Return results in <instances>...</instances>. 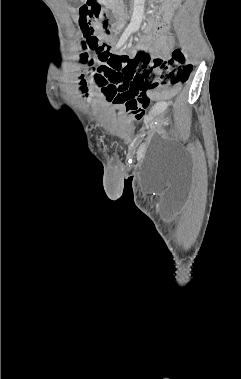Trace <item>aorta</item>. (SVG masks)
<instances>
[{"label":"aorta","instance_id":"aorta-1","mask_svg":"<svg viewBox=\"0 0 241 379\" xmlns=\"http://www.w3.org/2000/svg\"><path fill=\"white\" fill-rule=\"evenodd\" d=\"M145 0H134L133 14L130 21V27L134 30L139 29L144 15Z\"/></svg>","mask_w":241,"mask_h":379}]
</instances>
